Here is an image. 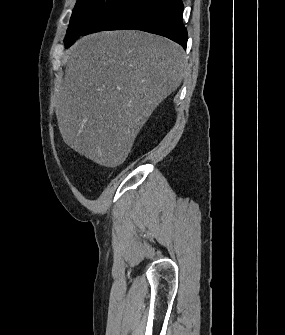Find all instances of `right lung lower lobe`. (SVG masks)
<instances>
[{
	"label": "right lung lower lobe",
	"instance_id": "1",
	"mask_svg": "<svg viewBox=\"0 0 285 335\" xmlns=\"http://www.w3.org/2000/svg\"><path fill=\"white\" fill-rule=\"evenodd\" d=\"M182 16V0H118L83 34L102 30H141L167 37L186 49L188 36Z\"/></svg>",
	"mask_w": 285,
	"mask_h": 335
}]
</instances>
